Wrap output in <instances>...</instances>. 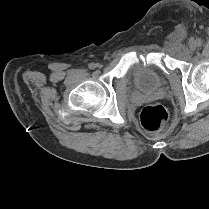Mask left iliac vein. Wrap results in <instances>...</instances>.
I'll return each instance as SVG.
<instances>
[{
  "label": "left iliac vein",
  "mask_w": 209,
  "mask_h": 209,
  "mask_svg": "<svg viewBox=\"0 0 209 209\" xmlns=\"http://www.w3.org/2000/svg\"><path fill=\"white\" fill-rule=\"evenodd\" d=\"M195 42L194 41H191L190 43H189V47H190V49L191 50H194L195 49Z\"/></svg>",
  "instance_id": "obj_1"
}]
</instances>
